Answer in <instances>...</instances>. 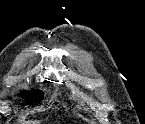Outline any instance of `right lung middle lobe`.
I'll list each match as a JSON object with an SVG mask.
<instances>
[{"label":"right lung middle lobe","instance_id":"dd1d6c3e","mask_svg":"<svg viewBox=\"0 0 145 124\" xmlns=\"http://www.w3.org/2000/svg\"><path fill=\"white\" fill-rule=\"evenodd\" d=\"M23 98H25L29 103H39L43 98V93L38 91L29 92L23 94Z\"/></svg>","mask_w":145,"mask_h":124}]
</instances>
